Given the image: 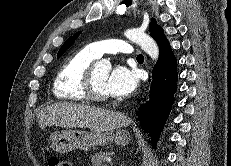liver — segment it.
<instances>
[{
    "mask_svg": "<svg viewBox=\"0 0 231 166\" xmlns=\"http://www.w3.org/2000/svg\"><path fill=\"white\" fill-rule=\"evenodd\" d=\"M39 127H86L92 131H113L130 123V118L118 111L92 107L80 103H55L46 106L37 115Z\"/></svg>",
    "mask_w": 231,
    "mask_h": 166,
    "instance_id": "obj_1",
    "label": "liver"
}]
</instances>
